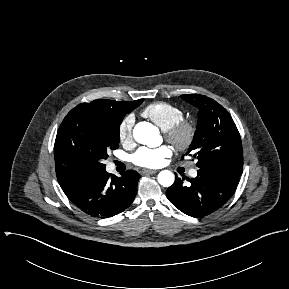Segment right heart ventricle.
Here are the masks:
<instances>
[{"instance_id":"e07e8e85","label":"right heart ventricle","mask_w":289,"mask_h":289,"mask_svg":"<svg viewBox=\"0 0 289 289\" xmlns=\"http://www.w3.org/2000/svg\"><path fill=\"white\" fill-rule=\"evenodd\" d=\"M142 115L154 122L163 131L170 129L183 119V111L178 106L167 102H154L149 104Z\"/></svg>"}]
</instances>
